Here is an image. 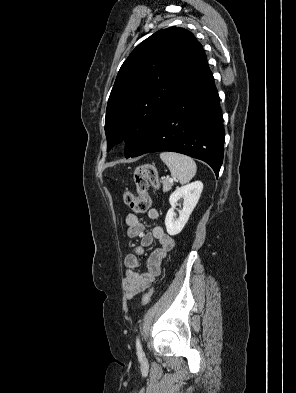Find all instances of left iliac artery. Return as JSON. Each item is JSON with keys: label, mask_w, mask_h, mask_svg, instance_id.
<instances>
[{"label": "left iliac artery", "mask_w": 296, "mask_h": 393, "mask_svg": "<svg viewBox=\"0 0 296 393\" xmlns=\"http://www.w3.org/2000/svg\"><path fill=\"white\" fill-rule=\"evenodd\" d=\"M136 349H137L138 355L143 354V350H142V346H141L139 337H137V339H136Z\"/></svg>", "instance_id": "left-iliac-artery-1"}]
</instances>
